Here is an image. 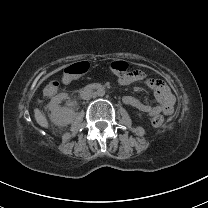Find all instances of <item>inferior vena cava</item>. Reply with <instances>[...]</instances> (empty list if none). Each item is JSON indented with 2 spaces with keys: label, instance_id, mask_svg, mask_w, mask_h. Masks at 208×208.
I'll use <instances>...</instances> for the list:
<instances>
[{
  "label": "inferior vena cava",
  "instance_id": "obj_1",
  "mask_svg": "<svg viewBox=\"0 0 208 208\" xmlns=\"http://www.w3.org/2000/svg\"><path fill=\"white\" fill-rule=\"evenodd\" d=\"M92 95H93V91L90 88L84 87L80 91V98L83 99V100L91 99Z\"/></svg>",
  "mask_w": 208,
  "mask_h": 208
}]
</instances>
